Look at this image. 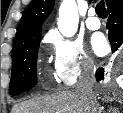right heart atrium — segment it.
<instances>
[{"instance_id":"1","label":"right heart atrium","mask_w":123,"mask_h":113,"mask_svg":"<svg viewBox=\"0 0 123 113\" xmlns=\"http://www.w3.org/2000/svg\"><path fill=\"white\" fill-rule=\"evenodd\" d=\"M50 44L54 76L60 85L72 86L82 74L93 70V60L80 42L54 34Z\"/></svg>"}]
</instances>
